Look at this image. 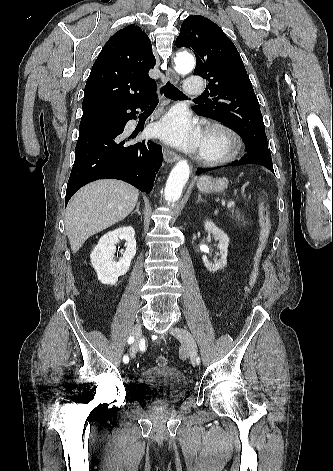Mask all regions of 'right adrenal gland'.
Returning <instances> with one entry per match:
<instances>
[{
  "mask_svg": "<svg viewBox=\"0 0 333 471\" xmlns=\"http://www.w3.org/2000/svg\"><path fill=\"white\" fill-rule=\"evenodd\" d=\"M139 206H140V202L137 203L136 210H134L131 214H134L135 212H137L140 215L141 213L139 211Z\"/></svg>",
  "mask_w": 333,
  "mask_h": 471,
  "instance_id": "right-adrenal-gland-1",
  "label": "right adrenal gland"
}]
</instances>
